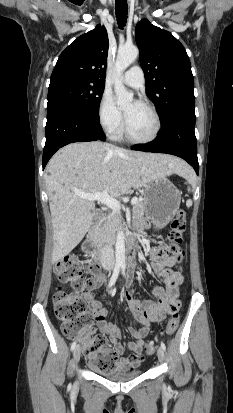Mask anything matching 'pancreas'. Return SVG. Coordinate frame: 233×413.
Here are the masks:
<instances>
[{
  "mask_svg": "<svg viewBox=\"0 0 233 413\" xmlns=\"http://www.w3.org/2000/svg\"><path fill=\"white\" fill-rule=\"evenodd\" d=\"M133 217L140 218L145 213V204L143 200H138L133 206ZM121 224V217L116 213H111L107 219L99 223L93 230L91 236L92 240L96 243H104L112 241L115 238L116 231Z\"/></svg>",
  "mask_w": 233,
  "mask_h": 413,
  "instance_id": "1",
  "label": "pancreas"
}]
</instances>
